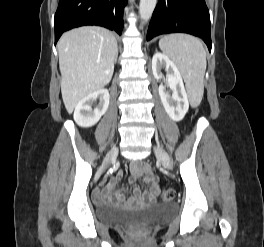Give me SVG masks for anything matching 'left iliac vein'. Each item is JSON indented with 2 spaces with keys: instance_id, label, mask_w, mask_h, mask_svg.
Segmentation results:
<instances>
[{
  "instance_id": "obj_1",
  "label": "left iliac vein",
  "mask_w": 264,
  "mask_h": 247,
  "mask_svg": "<svg viewBox=\"0 0 264 247\" xmlns=\"http://www.w3.org/2000/svg\"><path fill=\"white\" fill-rule=\"evenodd\" d=\"M154 152L156 157L162 162L165 168L169 170L173 169V162L168 153L163 148H161L160 146H156L154 148Z\"/></svg>"
}]
</instances>
